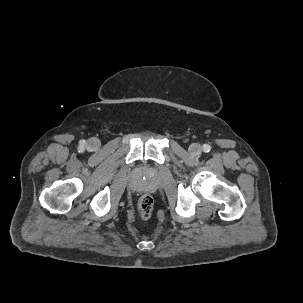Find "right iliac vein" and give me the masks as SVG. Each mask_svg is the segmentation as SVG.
Instances as JSON below:
<instances>
[{
	"instance_id": "63e3f726",
	"label": "right iliac vein",
	"mask_w": 303,
	"mask_h": 303,
	"mask_svg": "<svg viewBox=\"0 0 303 303\" xmlns=\"http://www.w3.org/2000/svg\"><path fill=\"white\" fill-rule=\"evenodd\" d=\"M100 146V141L96 138H92L88 141V147L95 150Z\"/></svg>"
}]
</instances>
